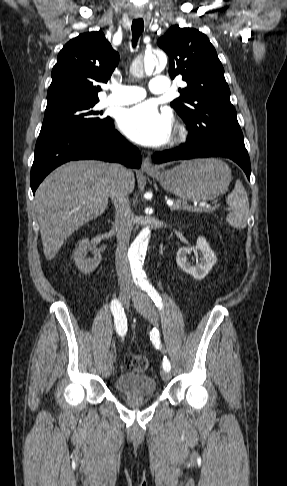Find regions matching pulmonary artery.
<instances>
[{"label":"pulmonary artery","instance_id":"pulmonary-artery-1","mask_svg":"<svg viewBox=\"0 0 287 486\" xmlns=\"http://www.w3.org/2000/svg\"><path fill=\"white\" fill-rule=\"evenodd\" d=\"M169 89V80L165 76L154 77L149 84V90L161 94ZM111 94L105 103L113 105H128L141 101L146 97V91L138 86L116 85L111 88Z\"/></svg>","mask_w":287,"mask_h":486}]
</instances>
